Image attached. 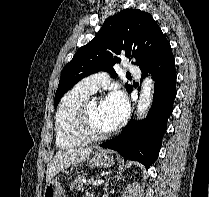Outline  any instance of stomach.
<instances>
[{"mask_svg":"<svg viewBox=\"0 0 209 197\" xmlns=\"http://www.w3.org/2000/svg\"><path fill=\"white\" fill-rule=\"evenodd\" d=\"M91 167L108 168L114 164L113 156L108 150L98 149L87 158ZM43 197H65V192L57 179H52L45 186Z\"/></svg>","mask_w":209,"mask_h":197,"instance_id":"1","label":"stomach"}]
</instances>
